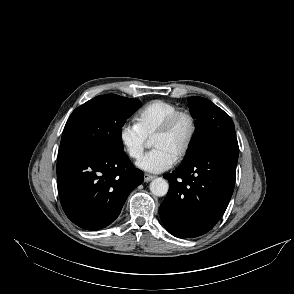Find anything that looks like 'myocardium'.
<instances>
[{
  "label": "myocardium",
  "instance_id": "1",
  "mask_svg": "<svg viewBox=\"0 0 294 294\" xmlns=\"http://www.w3.org/2000/svg\"><path fill=\"white\" fill-rule=\"evenodd\" d=\"M181 117H186L189 120L190 123V132H189V136L188 139L184 145V147L182 148V150L178 153L176 160L180 161L183 158H185L187 156V154L190 152L195 138H196V134H197V119L194 116L193 113H191L188 110L185 109H179L175 112H173L172 114H170L164 121L163 123L158 127V129L155 131V133L152 136V139L162 136L166 133H168L172 127L174 126V124L176 123V121L181 118Z\"/></svg>",
  "mask_w": 294,
  "mask_h": 294
}]
</instances>
